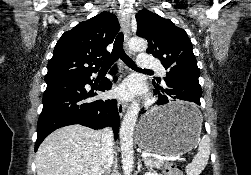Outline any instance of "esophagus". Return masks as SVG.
Segmentation results:
<instances>
[{"label": "esophagus", "mask_w": 251, "mask_h": 175, "mask_svg": "<svg viewBox=\"0 0 251 175\" xmlns=\"http://www.w3.org/2000/svg\"><path fill=\"white\" fill-rule=\"evenodd\" d=\"M121 28L123 30V33H124V46H125V49L127 51V53L131 56H135V53L132 52L129 48V39H130V22H129V18L126 17V16H122L121 17ZM117 107H118V112H119V115L120 117H122L125 109H126V104L121 101V100H118L117 101Z\"/></svg>", "instance_id": "esophagus-1"}]
</instances>
